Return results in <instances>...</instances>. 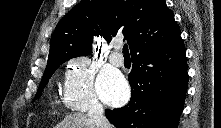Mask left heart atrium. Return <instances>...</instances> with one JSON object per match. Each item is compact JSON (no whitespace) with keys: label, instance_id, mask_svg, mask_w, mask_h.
Masks as SVG:
<instances>
[{"label":"left heart atrium","instance_id":"left-heart-atrium-1","mask_svg":"<svg viewBox=\"0 0 221 128\" xmlns=\"http://www.w3.org/2000/svg\"><path fill=\"white\" fill-rule=\"evenodd\" d=\"M98 90L107 104H119L128 96V86L122 77L114 71L103 72L98 79Z\"/></svg>","mask_w":221,"mask_h":128}]
</instances>
